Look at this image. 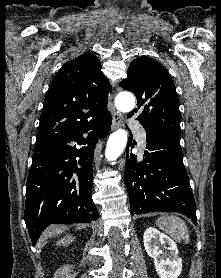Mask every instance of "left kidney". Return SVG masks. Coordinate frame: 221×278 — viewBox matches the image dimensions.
<instances>
[{
    "label": "left kidney",
    "instance_id": "obj_1",
    "mask_svg": "<svg viewBox=\"0 0 221 278\" xmlns=\"http://www.w3.org/2000/svg\"><path fill=\"white\" fill-rule=\"evenodd\" d=\"M144 247L147 254L154 259L155 269L160 278H178L182 271V259L178 256L176 243L154 227L144 232ZM163 245L166 252L159 250Z\"/></svg>",
    "mask_w": 221,
    "mask_h": 278
}]
</instances>
